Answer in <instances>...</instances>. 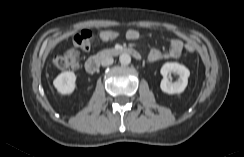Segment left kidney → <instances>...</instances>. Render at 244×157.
<instances>
[{
  "label": "left kidney",
  "mask_w": 244,
  "mask_h": 157,
  "mask_svg": "<svg viewBox=\"0 0 244 157\" xmlns=\"http://www.w3.org/2000/svg\"><path fill=\"white\" fill-rule=\"evenodd\" d=\"M160 72L163 76L160 84V88L163 92L167 94H179L186 89L190 71L184 65H181L177 62H167L163 64ZM171 73H176L179 75V79L174 83L168 80V76Z\"/></svg>",
  "instance_id": "1"
}]
</instances>
